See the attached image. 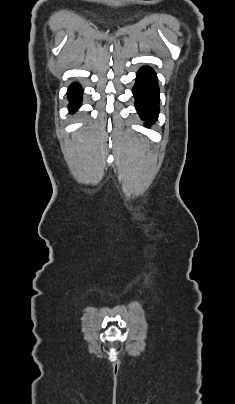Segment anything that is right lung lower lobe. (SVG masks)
I'll list each match as a JSON object with an SVG mask.
<instances>
[{
    "label": "right lung lower lobe",
    "mask_w": 235,
    "mask_h": 404,
    "mask_svg": "<svg viewBox=\"0 0 235 404\" xmlns=\"http://www.w3.org/2000/svg\"><path fill=\"white\" fill-rule=\"evenodd\" d=\"M82 89L80 85L74 83L70 86L68 90V98L70 101L69 109L71 111L76 110L81 104Z\"/></svg>",
    "instance_id": "obj_1"
}]
</instances>
